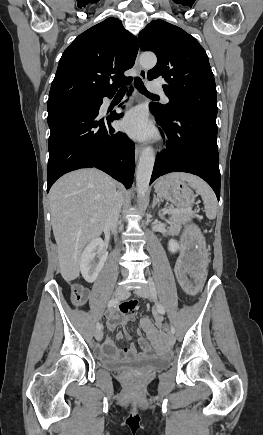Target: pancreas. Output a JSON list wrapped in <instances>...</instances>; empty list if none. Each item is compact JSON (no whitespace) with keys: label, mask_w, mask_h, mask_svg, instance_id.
Listing matches in <instances>:
<instances>
[{"label":"pancreas","mask_w":263,"mask_h":435,"mask_svg":"<svg viewBox=\"0 0 263 435\" xmlns=\"http://www.w3.org/2000/svg\"><path fill=\"white\" fill-rule=\"evenodd\" d=\"M170 214L172 215L171 220L181 223L190 222L195 217L191 211H177L176 209L171 210Z\"/></svg>","instance_id":"pancreas-1"}]
</instances>
